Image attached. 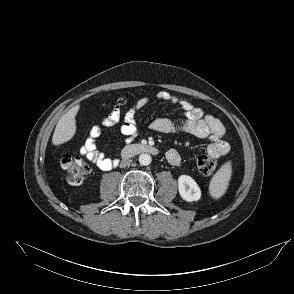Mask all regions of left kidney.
Instances as JSON below:
<instances>
[{
  "label": "left kidney",
  "mask_w": 294,
  "mask_h": 294,
  "mask_svg": "<svg viewBox=\"0 0 294 294\" xmlns=\"http://www.w3.org/2000/svg\"><path fill=\"white\" fill-rule=\"evenodd\" d=\"M179 194L187 202L198 201L201 198V190L196 181L188 175H180L178 178Z\"/></svg>",
  "instance_id": "obj_1"
}]
</instances>
